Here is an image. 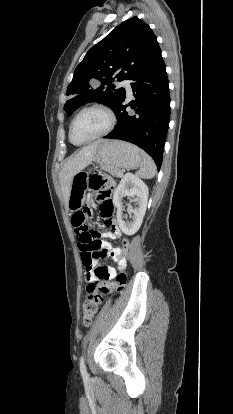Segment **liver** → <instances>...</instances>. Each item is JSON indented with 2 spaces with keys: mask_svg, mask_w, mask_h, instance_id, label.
<instances>
[{
  "mask_svg": "<svg viewBox=\"0 0 233 414\" xmlns=\"http://www.w3.org/2000/svg\"><path fill=\"white\" fill-rule=\"evenodd\" d=\"M99 141L85 146L77 154L70 157L60 171V183L66 207H68L71 183L76 174L85 169L93 161Z\"/></svg>",
  "mask_w": 233,
  "mask_h": 414,
  "instance_id": "liver-1",
  "label": "liver"
}]
</instances>
